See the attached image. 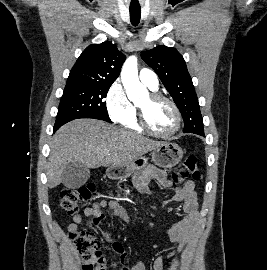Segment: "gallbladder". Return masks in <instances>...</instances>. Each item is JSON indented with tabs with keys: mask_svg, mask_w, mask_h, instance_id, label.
I'll return each mask as SVG.
<instances>
[{
	"mask_svg": "<svg viewBox=\"0 0 267 270\" xmlns=\"http://www.w3.org/2000/svg\"><path fill=\"white\" fill-rule=\"evenodd\" d=\"M89 177V168L81 163H69L63 169L62 183L67 188L76 189L84 185Z\"/></svg>",
	"mask_w": 267,
	"mask_h": 270,
	"instance_id": "obj_1",
	"label": "gallbladder"
}]
</instances>
